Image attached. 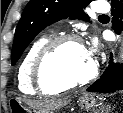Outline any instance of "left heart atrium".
I'll list each match as a JSON object with an SVG mask.
<instances>
[{"mask_svg":"<svg viewBox=\"0 0 123 113\" xmlns=\"http://www.w3.org/2000/svg\"><path fill=\"white\" fill-rule=\"evenodd\" d=\"M97 50V42L95 40H93L89 46H87L85 48V52L87 54V56L92 60V56L93 54L96 52Z\"/></svg>","mask_w":123,"mask_h":113,"instance_id":"39dd6f15","label":"left heart atrium"}]
</instances>
